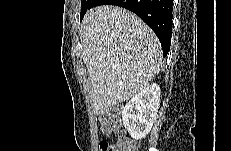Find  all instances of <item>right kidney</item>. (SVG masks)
I'll use <instances>...</instances> for the list:
<instances>
[{
  "label": "right kidney",
  "instance_id": "right-kidney-1",
  "mask_svg": "<svg viewBox=\"0 0 231 151\" xmlns=\"http://www.w3.org/2000/svg\"><path fill=\"white\" fill-rule=\"evenodd\" d=\"M159 105L160 87L156 83L148 85L125 105L122 121L133 139H142L150 132Z\"/></svg>",
  "mask_w": 231,
  "mask_h": 151
}]
</instances>
